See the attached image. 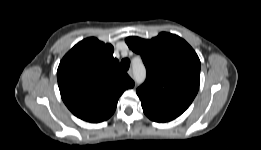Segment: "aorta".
I'll list each match as a JSON object with an SVG mask.
<instances>
[{
	"label": "aorta",
	"mask_w": 261,
	"mask_h": 150,
	"mask_svg": "<svg viewBox=\"0 0 261 150\" xmlns=\"http://www.w3.org/2000/svg\"><path fill=\"white\" fill-rule=\"evenodd\" d=\"M134 77L137 83L143 82L146 77V70L141 61L134 64Z\"/></svg>",
	"instance_id": "aorta-1"
}]
</instances>
